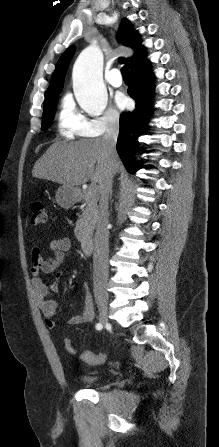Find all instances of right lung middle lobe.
Returning a JSON list of instances; mask_svg holds the SVG:
<instances>
[{
    "label": "right lung middle lobe",
    "mask_w": 219,
    "mask_h": 447,
    "mask_svg": "<svg viewBox=\"0 0 219 447\" xmlns=\"http://www.w3.org/2000/svg\"><path fill=\"white\" fill-rule=\"evenodd\" d=\"M59 94L52 95L44 101V111L42 115V129H47L52 122L55 106L58 100Z\"/></svg>",
    "instance_id": "right-lung-middle-lobe-1"
}]
</instances>
